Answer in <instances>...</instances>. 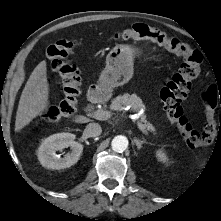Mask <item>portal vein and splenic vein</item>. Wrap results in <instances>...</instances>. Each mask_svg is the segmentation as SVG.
Masks as SVG:
<instances>
[{"label": "portal vein and splenic vein", "instance_id": "1", "mask_svg": "<svg viewBox=\"0 0 221 221\" xmlns=\"http://www.w3.org/2000/svg\"><path fill=\"white\" fill-rule=\"evenodd\" d=\"M93 117L97 120H108L112 117V113L110 111H105L102 109L96 110L92 113ZM138 128L144 133L147 134L144 125L141 122H137Z\"/></svg>", "mask_w": 221, "mask_h": 221}]
</instances>
